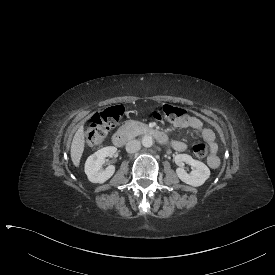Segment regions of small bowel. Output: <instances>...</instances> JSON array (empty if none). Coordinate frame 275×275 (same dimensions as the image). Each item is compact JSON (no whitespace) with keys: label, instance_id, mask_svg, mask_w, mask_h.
Returning <instances> with one entry per match:
<instances>
[{"label":"small bowel","instance_id":"c3829d8e","mask_svg":"<svg viewBox=\"0 0 275 275\" xmlns=\"http://www.w3.org/2000/svg\"><path fill=\"white\" fill-rule=\"evenodd\" d=\"M175 127L179 129L190 128L194 131H198L201 134L202 139L207 142L211 149V155L208 158V164L211 168L218 167L220 160L216 155L217 143L215 142L214 132L209 128H203L202 121L196 116H189L183 120L174 122ZM175 150L183 152L187 149V145L181 141H173L172 143Z\"/></svg>","mask_w":275,"mask_h":275}]
</instances>
